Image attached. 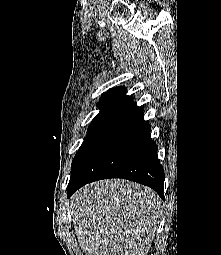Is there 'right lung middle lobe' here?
<instances>
[{
  "label": "right lung middle lobe",
  "instance_id": "right-lung-middle-lobe-1",
  "mask_svg": "<svg viewBox=\"0 0 221 255\" xmlns=\"http://www.w3.org/2000/svg\"><path fill=\"white\" fill-rule=\"evenodd\" d=\"M115 111H116L115 109H103L93 119L89 126L88 134L84 138V142L82 143L81 147L79 148L78 152L76 153L73 159L71 171L75 168L76 164L78 163L82 155L85 153L86 149L91 144L97 133L105 125L109 118L114 114Z\"/></svg>",
  "mask_w": 221,
  "mask_h": 255
}]
</instances>
